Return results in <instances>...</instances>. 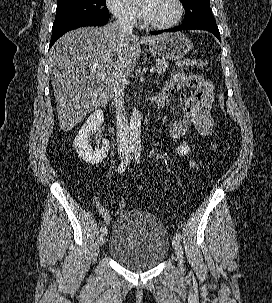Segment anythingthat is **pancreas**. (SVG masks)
I'll use <instances>...</instances> for the list:
<instances>
[{
    "label": "pancreas",
    "instance_id": "obj_1",
    "mask_svg": "<svg viewBox=\"0 0 272 303\" xmlns=\"http://www.w3.org/2000/svg\"><path fill=\"white\" fill-rule=\"evenodd\" d=\"M167 68V62L163 59H158L156 62V69L158 73H163L166 71Z\"/></svg>",
    "mask_w": 272,
    "mask_h": 303
}]
</instances>
